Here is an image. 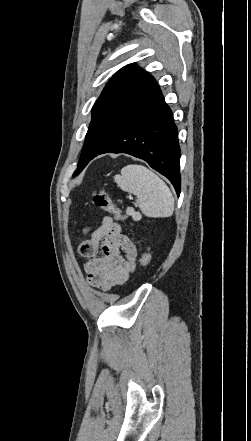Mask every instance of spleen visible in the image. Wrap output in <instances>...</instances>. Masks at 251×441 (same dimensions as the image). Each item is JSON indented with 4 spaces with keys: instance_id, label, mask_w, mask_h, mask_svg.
Wrapping results in <instances>:
<instances>
[{
    "instance_id": "3e777b00",
    "label": "spleen",
    "mask_w": 251,
    "mask_h": 441,
    "mask_svg": "<svg viewBox=\"0 0 251 441\" xmlns=\"http://www.w3.org/2000/svg\"><path fill=\"white\" fill-rule=\"evenodd\" d=\"M121 190L137 196L136 204L141 212L152 218L170 217L174 212V197L154 172L143 165L129 164L114 176Z\"/></svg>"
}]
</instances>
